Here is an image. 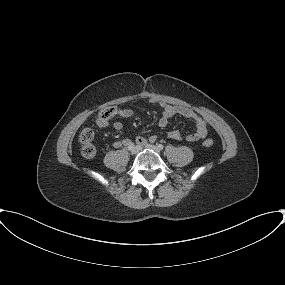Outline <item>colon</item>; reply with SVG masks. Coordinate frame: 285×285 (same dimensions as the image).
I'll list each match as a JSON object with an SVG mask.
<instances>
[{
    "instance_id": "colon-1",
    "label": "colon",
    "mask_w": 285,
    "mask_h": 285,
    "mask_svg": "<svg viewBox=\"0 0 285 285\" xmlns=\"http://www.w3.org/2000/svg\"><path fill=\"white\" fill-rule=\"evenodd\" d=\"M115 114V108L110 107L105 109L100 113V117L107 120L111 118ZM79 141L81 143V154L86 158H91L96 153V146L94 144V132L86 128L81 131L79 135ZM213 145V141L211 139H206L204 141V146L209 148Z\"/></svg>"
}]
</instances>
